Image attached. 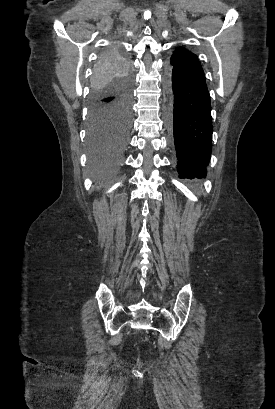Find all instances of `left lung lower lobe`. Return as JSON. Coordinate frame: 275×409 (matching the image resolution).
<instances>
[{
  "mask_svg": "<svg viewBox=\"0 0 275 409\" xmlns=\"http://www.w3.org/2000/svg\"><path fill=\"white\" fill-rule=\"evenodd\" d=\"M167 79L174 95L168 129L173 134L179 178H205L213 133L206 78L169 65Z\"/></svg>",
  "mask_w": 275,
  "mask_h": 409,
  "instance_id": "1",
  "label": "left lung lower lobe"
}]
</instances>
